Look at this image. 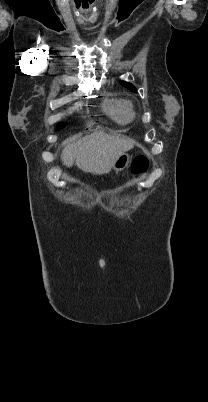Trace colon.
<instances>
[{
	"label": "colon",
	"instance_id": "obj_1",
	"mask_svg": "<svg viewBox=\"0 0 208 402\" xmlns=\"http://www.w3.org/2000/svg\"><path fill=\"white\" fill-rule=\"evenodd\" d=\"M150 168L149 159L144 155H139L131 165L133 176H139L146 173Z\"/></svg>",
	"mask_w": 208,
	"mask_h": 402
}]
</instances>
